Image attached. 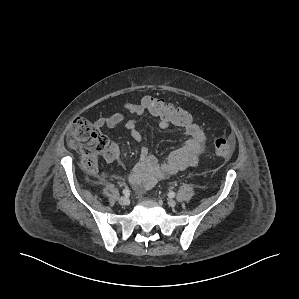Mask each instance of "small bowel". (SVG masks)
<instances>
[{
    "label": "small bowel",
    "instance_id": "1",
    "mask_svg": "<svg viewBox=\"0 0 299 299\" xmlns=\"http://www.w3.org/2000/svg\"><path fill=\"white\" fill-rule=\"evenodd\" d=\"M124 109L126 113L118 112L107 117H100L95 124L97 127L111 129L124 123L131 137L141 144L139 159L129 175V181L138 193L145 192L152 188L158 181L195 166L198 163L199 157L206 148V137L198 124L192 121L182 127L186 141L181 147L170 152L163 162H159L157 157L150 152L143 134L137 128V117L147 113L144 105L142 102H126ZM127 114L134 117L127 118ZM158 125L162 129L170 126L163 120H158ZM119 154L118 145L111 142L106 150L102 152L101 156L106 163L113 164L117 161Z\"/></svg>",
    "mask_w": 299,
    "mask_h": 299
}]
</instances>
